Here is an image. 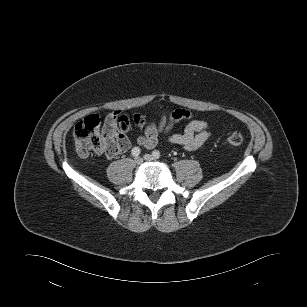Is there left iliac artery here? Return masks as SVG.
<instances>
[{
  "label": "left iliac artery",
  "mask_w": 307,
  "mask_h": 307,
  "mask_svg": "<svg viewBox=\"0 0 307 307\" xmlns=\"http://www.w3.org/2000/svg\"><path fill=\"white\" fill-rule=\"evenodd\" d=\"M152 154H153V156L155 157V158H160V152L159 151H157V150H154L153 152H152Z\"/></svg>",
  "instance_id": "left-iliac-artery-1"
}]
</instances>
